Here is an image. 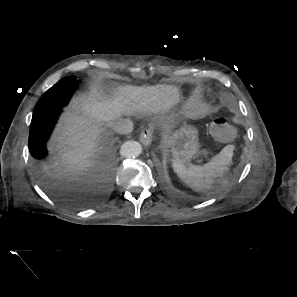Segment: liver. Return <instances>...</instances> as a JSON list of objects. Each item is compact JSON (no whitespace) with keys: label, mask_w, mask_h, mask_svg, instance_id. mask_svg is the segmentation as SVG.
<instances>
[{"label":"liver","mask_w":297,"mask_h":297,"mask_svg":"<svg viewBox=\"0 0 297 297\" xmlns=\"http://www.w3.org/2000/svg\"><path fill=\"white\" fill-rule=\"evenodd\" d=\"M179 101V90L172 85L119 86L112 98L96 92L72 103L52 137L51 150L58 155L54 164L61 169L56 176L68 192L89 191L87 171L95 163L103 124L110 125L122 113L135 110L167 111ZM82 112V114H79Z\"/></svg>","instance_id":"6515ba94"}]
</instances>
